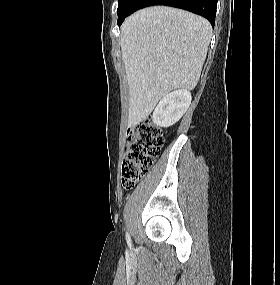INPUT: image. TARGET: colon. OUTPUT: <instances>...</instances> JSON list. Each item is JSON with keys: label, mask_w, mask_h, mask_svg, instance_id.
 Segmentation results:
<instances>
[{"label": "colon", "mask_w": 280, "mask_h": 285, "mask_svg": "<svg viewBox=\"0 0 280 285\" xmlns=\"http://www.w3.org/2000/svg\"><path fill=\"white\" fill-rule=\"evenodd\" d=\"M163 145L162 130L149 120L140 121L130 129L121 167L125 189L133 188L146 175Z\"/></svg>", "instance_id": "5ec220e1"}]
</instances>
